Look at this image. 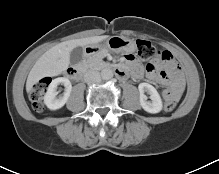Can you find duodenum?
<instances>
[{
  "instance_id": "duodenum-1",
  "label": "duodenum",
  "mask_w": 219,
  "mask_h": 174,
  "mask_svg": "<svg viewBox=\"0 0 219 174\" xmlns=\"http://www.w3.org/2000/svg\"><path fill=\"white\" fill-rule=\"evenodd\" d=\"M99 50L97 48H90L88 49L86 52H85V57H89L93 54H96L98 53ZM102 68L104 69H107V68H113L114 71H115V74L119 77V78H127V73L125 72V70L121 67H113L111 64L109 63H103L101 65ZM84 72H85V69L83 67H72V68H69L67 73H68V76L72 79H80L83 77L84 75Z\"/></svg>"
}]
</instances>
